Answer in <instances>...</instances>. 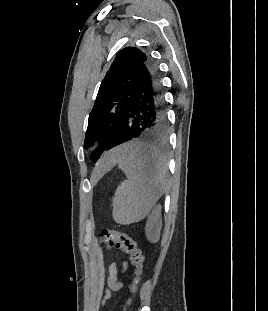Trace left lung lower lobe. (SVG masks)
Listing matches in <instances>:
<instances>
[{
    "mask_svg": "<svg viewBox=\"0 0 268 311\" xmlns=\"http://www.w3.org/2000/svg\"><path fill=\"white\" fill-rule=\"evenodd\" d=\"M166 130L167 116L160 72L149 58L138 70L123 121L106 150L127 140L165 141Z\"/></svg>",
    "mask_w": 268,
    "mask_h": 311,
    "instance_id": "left-lung-lower-lobe-1",
    "label": "left lung lower lobe"
}]
</instances>
